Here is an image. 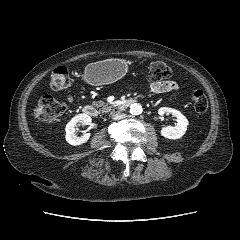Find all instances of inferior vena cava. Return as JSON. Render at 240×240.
<instances>
[{"mask_svg":"<svg viewBox=\"0 0 240 240\" xmlns=\"http://www.w3.org/2000/svg\"><path fill=\"white\" fill-rule=\"evenodd\" d=\"M126 118V114L124 113H114L112 114V119L114 120H121V119H124Z\"/></svg>","mask_w":240,"mask_h":240,"instance_id":"1","label":"inferior vena cava"}]
</instances>
